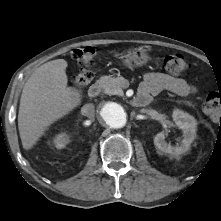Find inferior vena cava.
I'll return each mask as SVG.
<instances>
[{
  "label": "inferior vena cava",
  "instance_id": "1",
  "mask_svg": "<svg viewBox=\"0 0 221 221\" xmlns=\"http://www.w3.org/2000/svg\"><path fill=\"white\" fill-rule=\"evenodd\" d=\"M82 113L88 118H94L95 116V107L92 103L86 104L82 108Z\"/></svg>",
  "mask_w": 221,
  "mask_h": 221
}]
</instances>
